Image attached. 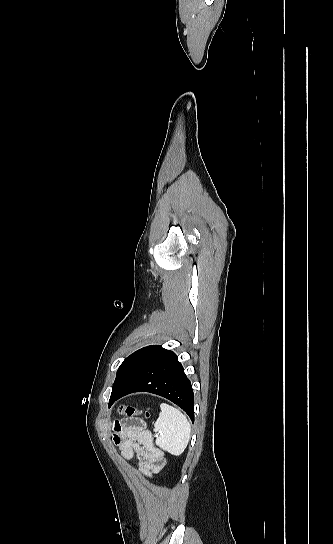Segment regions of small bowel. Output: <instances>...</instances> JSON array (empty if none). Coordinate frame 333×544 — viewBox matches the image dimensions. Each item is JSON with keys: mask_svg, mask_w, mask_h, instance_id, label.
Instances as JSON below:
<instances>
[{"mask_svg": "<svg viewBox=\"0 0 333 544\" xmlns=\"http://www.w3.org/2000/svg\"><path fill=\"white\" fill-rule=\"evenodd\" d=\"M113 441L125 460L136 459L140 471L147 477L165 464L162 453L155 447L153 437L144 424L135 419L115 422Z\"/></svg>", "mask_w": 333, "mask_h": 544, "instance_id": "small-bowel-1", "label": "small bowel"}]
</instances>
